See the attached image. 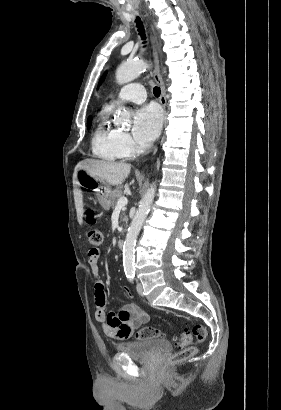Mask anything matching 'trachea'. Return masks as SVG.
Masks as SVG:
<instances>
[{"mask_svg": "<svg viewBox=\"0 0 281 410\" xmlns=\"http://www.w3.org/2000/svg\"><path fill=\"white\" fill-rule=\"evenodd\" d=\"M136 23H137L139 35L142 37L143 40H145V39H146V37H145V30H144L143 24H142V22H141V20H140L139 17L136 18ZM153 93H154V95H155L156 97H159V96H160V93H161L160 88L157 87V86L154 87V88H153Z\"/></svg>", "mask_w": 281, "mask_h": 410, "instance_id": "3493384b", "label": "trachea"}]
</instances>
